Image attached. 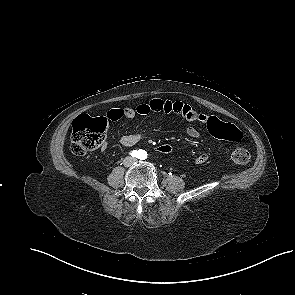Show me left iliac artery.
Instances as JSON below:
<instances>
[{
  "mask_svg": "<svg viewBox=\"0 0 295 295\" xmlns=\"http://www.w3.org/2000/svg\"><path fill=\"white\" fill-rule=\"evenodd\" d=\"M147 154L143 151L139 157V159L144 160L146 158Z\"/></svg>",
  "mask_w": 295,
  "mask_h": 295,
  "instance_id": "1",
  "label": "left iliac artery"
}]
</instances>
